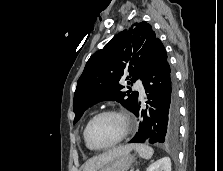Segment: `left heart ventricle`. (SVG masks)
Masks as SVG:
<instances>
[{"label": "left heart ventricle", "mask_w": 223, "mask_h": 171, "mask_svg": "<svg viewBox=\"0 0 223 171\" xmlns=\"http://www.w3.org/2000/svg\"><path fill=\"white\" fill-rule=\"evenodd\" d=\"M124 131L121 118L115 115H104L97 118L90 127L89 137L96 146H106L116 141Z\"/></svg>", "instance_id": "1"}]
</instances>
